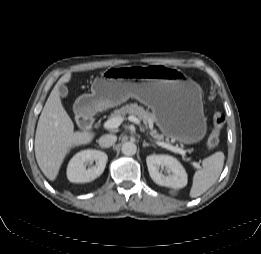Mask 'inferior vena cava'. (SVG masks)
Returning a JSON list of instances; mask_svg holds the SVG:
<instances>
[{
  "instance_id": "obj_1",
  "label": "inferior vena cava",
  "mask_w": 261,
  "mask_h": 254,
  "mask_svg": "<svg viewBox=\"0 0 261 254\" xmlns=\"http://www.w3.org/2000/svg\"><path fill=\"white\" fill-rule=\"evenodd\" d=\"M117 141V136L113 134H105L101 136L98 140V143L103 148H108L115 144Z\"/></svg>"
}]
</instances>
